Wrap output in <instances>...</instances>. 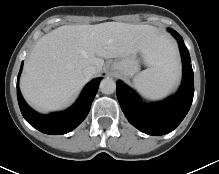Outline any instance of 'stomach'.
<instances>
[{
	"instance_id": "obj_1",
	"label": "stomach",
	"mask_w": 219,
	"mask_h": 174,
	"mask_svg": "<svg viewBox=\"0 0 219 174\" xmlns=\"http://www.w3.org/2000/svg\"><path fill=\"white\" fill-rule=\"evenodd\" d=\"M113 71L124 77H132L140 70L139 60L136 53H131L111 64Z\"/></svg>"
}]
</instances>
